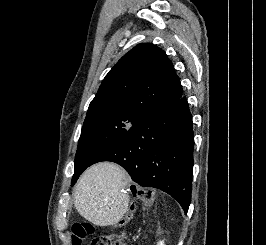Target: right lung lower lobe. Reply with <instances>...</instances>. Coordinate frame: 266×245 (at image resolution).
<instances>
[{
    "label": "right lung lower lobe",
    "mask_w": 266,
    "mask_h": 245,
    "mask_svg": "<svg viewBox=\"0 0 266 245\" xmlns=\"http://www.w3.org/2000/svg\"><path fill=\"white\" fill-rule=\"evenodd\" d=\"M193 149L192 114L182 95L143 116L90 165L101 161L118 163L133 181L168 193L187 213L191 202Z\"/></svg>",
    "instance_id": "1"
}]
</instances>
